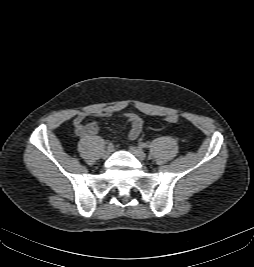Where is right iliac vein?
Masks as SVG:
<instances>
[{
	"mask_svg": "<svg viewBox=\"0 0 254 267\" xmlns=\"http://www.w3.org/2000/svg\"><path fill=\"white\" fill-rule=\"evenodd\" d=\"M112 151H113V148H107L106 150L103 151L102 157L104 159L108 158L110 154L112 153Z\"/></svg>",
	"mask_w": 254,
	"mask_h": 267,
	"instance_id": "obj_1",
	"label": "right iliac vein"
}]
</instances>
